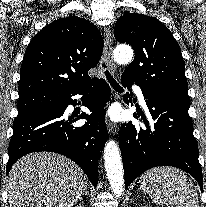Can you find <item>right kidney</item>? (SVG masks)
<instances>
[{
  "label": "right kidney",
  "instance_id": "obj_1",
  "mask_svg": "<svg viewBox=\"0 0 206 207\" xmlns=\"http://www.w3.org/2000/svg\"><path fill=\"white\" fill-rule=\"evenodd\" d=\"M76 207H84V206L80 204V205H77Z\"/></svg>",
  "mask_w": 206,
  "mask_h": 207
}]
</instances>
